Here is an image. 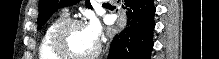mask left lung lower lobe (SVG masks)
Segmentation results:
<instances>
[{
	"label": "left lung lower lobe",
	"instance_id": "0a47b994",
	"mask_svg": "<svg viewBox=\"0 0 219 59\" xmlns=\"http://www.w3.org/2000/svg\"><path fill=\"white\" fill-rule=\"evenodd\" d=\"M126 28L113 39L108 59H150L155 27L153 0H125Z\"/></svg>",
	"mask_w": 219,
	"mask_h": 59
}]
</instances>
